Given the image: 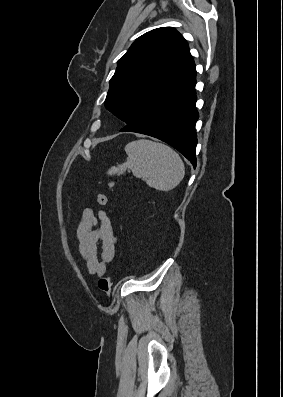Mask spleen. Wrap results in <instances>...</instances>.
Here are the masks:
<instances>
[{"label": "spleen", "mask_w": 283, "mask_h": 397, "mask_svg": "<svg viewBox=\"0 0 283 397\" xmlns=\"http://www.w3.org/2000/svg\"><path fill=\"white\" fill-rule=\"evenodd\" d=\"M126 162L112 166L107 174L120 175L130 169L136 178L160 191L174 189L184 178L185 167L180 156L169 146L140 139L125 146ZM113 185V183H111Z\"/></svg>", "instance_id": "3e777b00"}]
</instances>
